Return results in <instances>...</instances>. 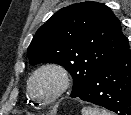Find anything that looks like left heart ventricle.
I'll use <instances>...</instances> for the list:
<instances>
[{
  "mask_svg": "<svg viewBox=\"0 0 131 115\" xmlns=\"http://www.w3.org/2000/svg\"><path fill=\"white\" fill-rule=\"evenodd\" d=\"M58 87L57 77L50 72L40 73L33 82V90L40 98H48L56 91Z\"/></svg>",
  "mask_w": 131,
  "mask_h": 115,
  "instance_id": "b2bd125f",
  "label": "left heart ventricle"
}]
</instances>
